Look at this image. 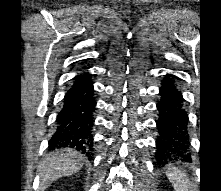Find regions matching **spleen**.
<instances>
[{
	"mask_svg": "<svg viewBox=\"0 0 221 191\" xmlns=\"http://www.w3.org/2000/svg\"><path fill=\"white\" fill-rule=\"evenodd\" d=\"M166 176L174 187L175 191H191L190 181L186 174L175 166H168Z\"/></svg>",
	"mask_w": 221,
	"mask_h": 191,
	"instance_id": "3e777b00",
	"label": "spleen"
}]
</instances>
